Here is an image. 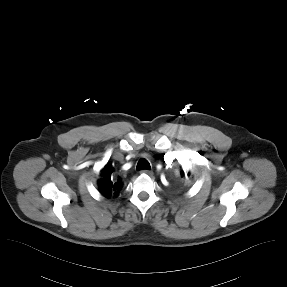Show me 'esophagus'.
Instances as JSON below:
<instances>
[{
    "instance_id": "34e87169",
    "label": "esophagus",
    "mask_w": 287,
    "mask_h": 287,
    "mask_svg": "<svg viewBox=\"0 0 287 287\" xmlns=\"http://www.w3.org/2000/svg\"><path fill=\"white\" fill-rule=\"evenodd\" d=\"M142 173H145V174L150 175V176L153 175V171L147 170V169L142 170Z\"/></svg>"
}]
</instances>
